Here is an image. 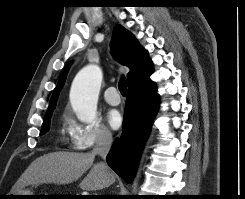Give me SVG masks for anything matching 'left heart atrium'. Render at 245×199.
Returning a JSON list of instances; mask_svg holds the SVG:
<instances>
[{
  "instance_id": "1",
  "label": "left heart atrium",
  "mask_w": 245,
  "mask_h": 199,
  "mask_svg": "<svg viewBox=\"0 0 245 199\" xmlns=\"http://www.w3.org/2000/svg\"><path fill=\"white\" fill-rule=\"evenodd\" d=\"M107 121L110 127L116 130L121 127L123 119L119 111L111 110L107 114Z\"/></svg>"
}]
</instances>
